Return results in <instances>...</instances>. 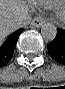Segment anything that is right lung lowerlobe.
Wrapping results in <instances>:
<instances>
[{
  "label": "right lung lower lobe",
  "mask_w": 65,
  "mask_h": 89,
  "mask_svg": "<svg viewBox=\"0 0 65 89\" xmlns=\"http://www.w3.org/2000/svg\"><path fill=\"white\" fill-rule=\"evenodd\" d=\"M23 29H19L11 34L3 44H0V68L5 66L13 56V52Z\"/></svg>",
  "instance_id": "1"
}]
</instances>
